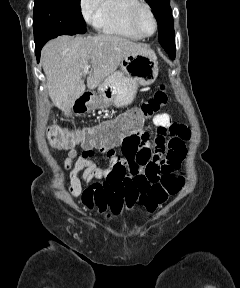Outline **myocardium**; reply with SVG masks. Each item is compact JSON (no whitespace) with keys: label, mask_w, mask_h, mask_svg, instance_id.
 <instances>
[{"label":"myocardium","mask_w":240,"mask_h":288,"mask_svg":"<svg viewBox=\"0 0 240 288\" xmlns=\"http://www.w3.org/2000/svg\"><path fill=\"white\" fill-rule=\"evenodd\" d=\"M141 9H146L150 13V15L154 21L155 28H154L153 33L150 35H145V34L141 33L138 26H137V16H138V13L140 12ZM128 22H129L130 27L141 38H150V37L154 36L157 33L158 28H159L158 19H157V16H156L153 8L151 7L150 4H148L147 2L142 1V0H138L137 3H135L134 5L131 6L129 13H128Z\"/></svg>","instance_id":"1"}]
</instances>
